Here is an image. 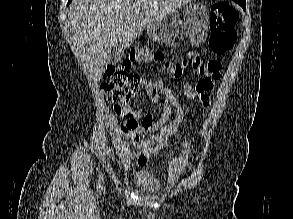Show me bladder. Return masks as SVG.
Returning a JSON list of instances; mask_svg holds the SVG:
<instances>
[{
    "label": "bladder",
    "mask_w": 293,
    "mask_h": 219,
    "mask_svg": "<svg viewBox=\"0 0 293 219\" xmlns=\"http://www.w3.org/2000/svg\"><path fill=\"white\" fill-rule=\"evenodd\" d=\"M129 183L134 190L151 199H162L165 196L160 179L146 170H137L129 175Z\"/></svg>",
    "instance_id": "obj_1"
}]
</instances>
